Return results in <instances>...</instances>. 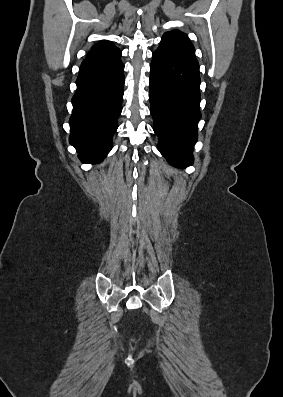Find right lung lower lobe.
Instances as JSON below:
<instances>
[{
    "label": "right lung lower lobe",
    "mask_w": 283,
    "mask_h": 397,
    "mask_svg": "<svg viewBox=\"0 0 283 397\" xmlns=\"http://www.w3.org/2000/svg\"><path fill=\"white\" fill-rule=\"evenodd\" d=\"M123 71L120 57L108 63L80 67L77 90L71 100L69 141L83 162H101L112 149L122 111Z\"/></svg>",
    "instance_id": "obj_1"
}]
</instances>
